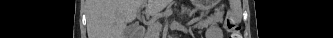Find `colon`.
<instances>
[{
	"instance_id": "colon-1",
	"label": "colon",
	"mask_w": 333,
	"mask_h": 38,
	"mask_svg": "<svg viewBox=\"0 0 333 38\" xmlns=\"http://www.w3.org/2000/svg\"><path fill=\"white\" fill-rule=\"evenodd\" d=\"M225 28L229 32V38H241L240 26L233 18H226Z\"/></svg>"
}]
</instances>
